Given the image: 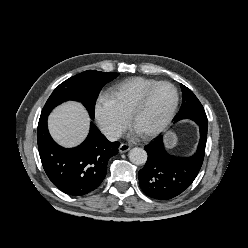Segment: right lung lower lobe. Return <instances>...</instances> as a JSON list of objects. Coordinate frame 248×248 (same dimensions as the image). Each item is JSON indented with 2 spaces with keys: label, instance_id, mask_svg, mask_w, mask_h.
Here are the masks:
<instances>
[{
  "label": "right lung lower lobe",
  "instance_id": "obj_1",
  "mask_svg": "<svg viewBox=\"0 0 248 248\" xmlns=\"http://www.w3.org/2000/svg\"><path fill=\"white\" fill-rule=\"evenodd\" d=\"M47 117H40L37 130L38 149L43 168L51 182L71 196L95 190L104 180L108 160L118 152L119 142H110L94 124L86 140L66 149L50 136Z\"/></svg>",
  "mask_w": 248,
  "mask_h": 248
}]
</instances>
